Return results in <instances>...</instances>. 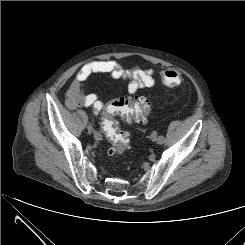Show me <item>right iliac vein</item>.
I'll return each instance as SVG.
<instances>
[{
  "label": "right iliac vein",
  "mask_w": 245,
  "mask_h": 245,
  "mask_svg": "<svg viewBox=\"0 0 245 245\" xmlns=\"http://www.w3.org/2000/svg\"><path fill=\"white\" fill-rule=\"evenodd\" d=\"M87 130H88V133H89V134L92 133L93 127H92L91 124H89V125L87 126ZM94 137H95L96 140H100V139H99V136H98V134H97L96 132H94Z\"/></svg>",
  "instance_id": "1"
}]
</instances>
